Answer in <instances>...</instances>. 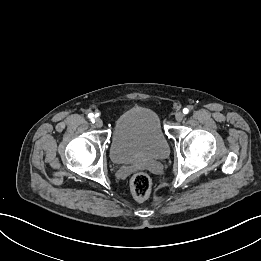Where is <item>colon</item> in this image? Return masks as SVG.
Wrapping results in <instances>:
<instances>
[{
	"label": "colon",
	"instance_id": "1",
	"mask_svg": "<svg viewBox=\"0 0 261 261\" xmlns=\"http://www.w3.org/2000/svg\"><path fill=\"white\" fill-rule=\"evenodd\" d=\"M130 188L132 195L136 200H144L150 194L151 179L146 173L138 172L132 176Z\"/></svg>",
	"mask_w": 261,
	"mask_h": 261
}]
</instances>
